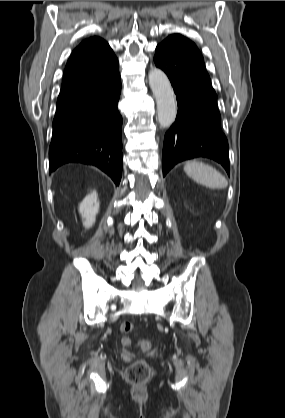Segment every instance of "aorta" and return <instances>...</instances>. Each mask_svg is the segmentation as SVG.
<instances>
[{"label": "aorta", "mask_w": 285, "mask_h": 418, "mask_svg": "<svg viewBox=\"0 0 285 418\" xmlns=\"http://www.w3.org/2000/svg\"><path fill=\"white\" fill-rule=\"evenodd\" d=\"M149 85L156 99L159 124L168 128L175 121L177 114L176 98L171 83L162 70L153 68L149 73Z\"/></svg>", "instance_id": "762f6f07"}]
</instances>
